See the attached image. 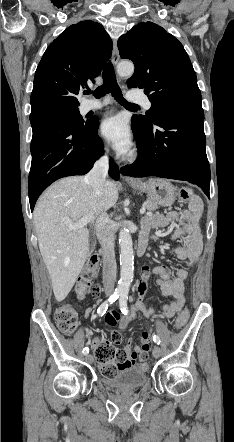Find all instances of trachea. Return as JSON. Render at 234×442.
Masks as SVG:
<instances>
[{
    "label": "trachea",
    "mask_w": 234,
    "mask_h": 442,
    "mask_svg": "<svg viewBox=\"0 0 234 442\" xmlns=\"http://www.w3.org/2000/svg\"><path fill=\"white\" fill-rule=\"evenodd\" d=\"M89 93L90 90L85 92V94ZM107 93H111L114 99L125 107H138V105L129 103L123 98L122 91L116 81L114 67L111 62H108L103 70V85L97 87L93 95L95 98H101Z\"/></svg>",
    "instance_id": "1"
}]
</instances>
